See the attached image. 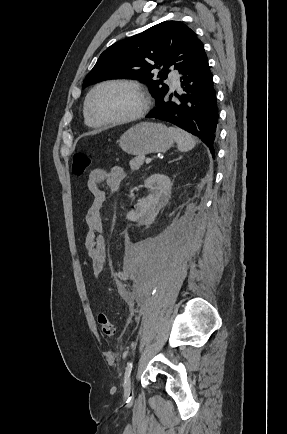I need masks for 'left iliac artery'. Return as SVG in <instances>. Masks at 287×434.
I'll use <instances>...</instances> for the list:
<instances>
[{
    "label": "left iliac artery",
    "instance_id": "obj_1",
    "mask_svg": "<svg viewBox=\"0 0 287 434\" xmlns=\"http://www.w3.org/2000/svg\"><path fill=\"white\" fill-rule=\"evenodd\" d=\"M132 368H133V363L132 362L128 363L126 370H125V375H124V385H125L127 379L130 377Z\"/></svg>",
    "mask_w": 287,
    "mask_h": 434
}]
</instances>
